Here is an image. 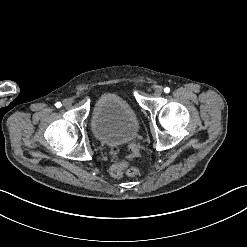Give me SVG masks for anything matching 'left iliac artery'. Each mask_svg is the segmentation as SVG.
<instances>
[{"label": "left iliac artery", "mask_w": 247, "mask_h": 247, "mask_svg": "<svg viewBox=\"0 0 247 247\" xmlns=\"http://www.w3.org/2000/svg\"><path fill=\"white\" fill-rule=\"evenodd\" d=\"M164 92L165 93H169L170 92V88L169 87L164 88Z\"/></svg>", "instance_id": "left-iliac-artery-1"}]
</instances>
